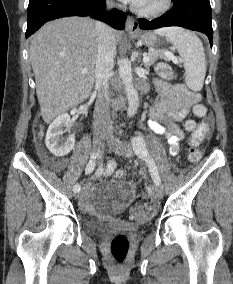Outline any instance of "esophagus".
<instances>
[{"mask_svg": "<svg viewBox=\"0 0 233 284\" xmlns=\"http://www.w3.org/2000/svg\"><path fill=\"white\" fill-rule=\"evenodd\" d=\"M126 31L130 34L139 32V24L132 16H127Z\"/></svg>", "mask_w": 233, "mask_h": 284, "instance_id": "34e87169", "label": "esophagus"}]
</instances>
